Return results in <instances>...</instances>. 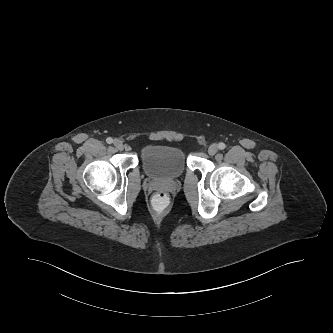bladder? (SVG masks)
Instances as JSON below:
<instances>
[{
	"instance_id": "1",
	"label": "bladder",
	"mask_w": 333,
	"mask_h": 333,
	"mask_svg": "<svg viewBox=\"0 0 333 333\" xmlns=\"http://www.w3.org/2000/svg\"><path fill=\"white\" fill-rule=\"evenodd\" d=\"M140 161L144 172L153 178L175 179L186 170L184 153L172 146H148L142 151Z\"/></svg>"
}]
</instances>
